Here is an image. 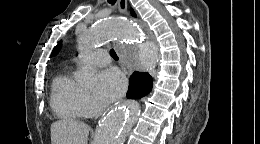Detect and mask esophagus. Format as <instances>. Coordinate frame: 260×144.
Instances as JSON below:
<instances>
[{"mask_svg":"<svg viewBox=\"0 0 260 144\" xmlns=\"http://www.w3.org/2000/svg\"><path fill=\"white\" fill-rule=\"evenodd\" d=\"M118 9L121 14H127L128 13V4L127 0H118ZM121 66L122 70L126 75H130V67L126 65L122 60H121Z\"/></svg>","mask_w":260,"mask_h":144,"instance_id":"34e87169","label":"esophagus"}]
</instances>
